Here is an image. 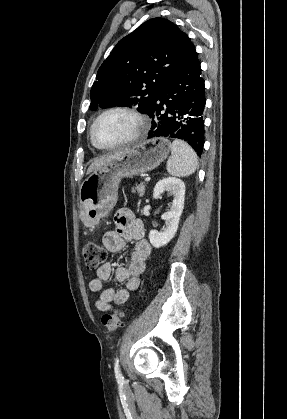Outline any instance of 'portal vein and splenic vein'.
<instances>
[{
    "label": "portal vein and splenic vein",
    "mask_w": 287,
    "mask_h": 419,
    "mask_svg": "<svg viewBox=\"0 0 287 419\" xmlns=\"http://www.w3.org/2000/svg\"><path fill=\"white\" fill-rule=\"evenodd\" d=\"M150 181V177L145 178V182H149Z\"/></svg>",
    "instance_id": "18ae733b"
}]
</instances>
